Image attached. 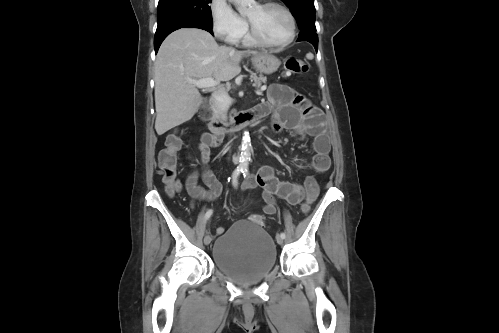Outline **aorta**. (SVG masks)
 <instances>
[{
  "instance_id": "aorta-1",
  "label": "aorta",
  "mask_w": 499,
  "mask_h": 333,
  "mask_svg": "<svg viewBox=\"0 0 499 333\" xmlns=\"http://www.w3.org/2000/svg\"><path fill=\"white\" fill-rule=\"evenodd\" d=\"M230 1L236 4L237 9L240 13L246 12L249 9V7L255 3L254 0H230ZM250 157H251V141L249 134L245 132L242 138V147H241V154L238 167L240 169H247Z\"/></svg>"
}]
</instances>
